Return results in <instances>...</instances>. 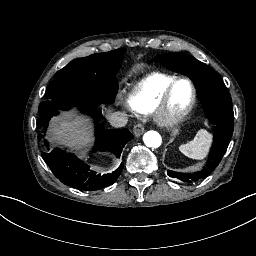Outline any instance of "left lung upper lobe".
Returning <instances> with one entry per match:
<instances>
[{
	"label": "left lung upper lobe",
	"mask_w": 256,
	"mask_h": 256,
	"mask_svg": "<svg viewBox=\"0 0 256 256\" xmlns=\"http://www.w3.org/2000/svg\"><path fill=\"white\" fill-rule=\"evenodd\" d=\"M154 61L188 76L194 82L204 111L214 124V140L206 167L200 172L186 173L205 178L220 163L233 133L234 116L229 92L212 68L190 55L182 52L166 53L157 55Z\"/></svg>",
	"instance_id": "left-lung-upper-lobe-1"
}]
</instances>
